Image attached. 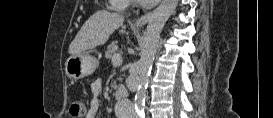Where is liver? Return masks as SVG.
<instances>
[{
    "label": "liver",
    "mask_w": 273,
    "mask_h": 118,
    "mask_svg": "<svg viewBox=\"0 0 273 118\" xmlns=\"http://www.w3.org/2000/svg\"><path fill=\"white\" fill-rule=\"evenodd\" d=\"M124 16L100 10L94 13L81 27L69 46V54L77 55L107 42L110 35L123 25Z\"/></svg>",
    "instance_id": "liver-1"
}]
</instances>
